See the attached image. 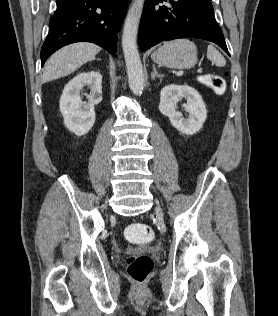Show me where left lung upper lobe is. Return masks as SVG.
<instances>
[{
	"mask_svg": "<svg viewBox=\"0 0 278 316\" xmlns=\"http://www.w3.org/2000/svg\"><path fill=\"white\" fill-rule=\"evenodd\" d=\"M204 1H206V2H208V3H210V4H211V1H210V0H204Z\"/></svg>",
	"mask_w": 278,
	"mask_h": 316,
	"instance_id": "1",
	"label": "left lung upper lobe"
}]
</instances>
